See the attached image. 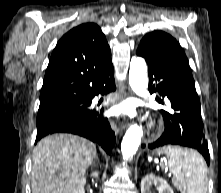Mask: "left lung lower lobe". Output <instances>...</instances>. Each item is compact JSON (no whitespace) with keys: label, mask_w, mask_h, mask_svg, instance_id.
I'll list each match as a JSON object with an SVG mask.
<instances>
[{"label":"left lung lower lobe","mask_w":221,"mask_h":193,"mask_svg":"<svg viewBox=\"0 0 221 193\" xmlns=\"http://www.w3.org/2000/svg\"><path fill=\"white\" fill-rule=\"evenodd\" d=\"M137 55L144 57L149 66V81H158L152 92L171 101L173 112L162 110L165 130L162 136L148 145L155 149L167 145H180L197 149L210 162L204 125L201 118L200 100L195 89V82L188 64L160 58L139 46ZM149 84V89H150ZM162 103L161 100H158ZM143 148L145 145L142 146Z\"/></svg>","instance_id":"0a47b994"}]
</instances>
